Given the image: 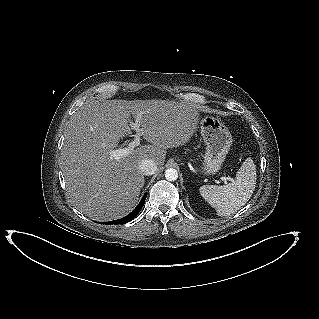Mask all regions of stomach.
<instances>
[{"mask_svg": "<svg viewBox=\"0 0 319 319\" xmlns=\"http://www.w3.org/2000/svg\"><path fill=\"white\" fill-rule=\"evenodd\" d=\"M200 131L206 145L203 172L216 174L223 165L232 145V135L224 123L211 115H205L199 121Z\"/></svg>", "mask_w": 319, "mask_h": 319, "instance_id": "stomach-1", "label": "stomach"}]
</instances>
